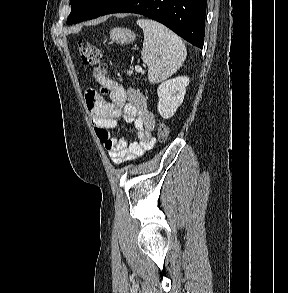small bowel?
Here are the masks:
<instances>
[{
	"label": "small bowel",
	"instance_id": "obj_1",
	"mask_svg": "<svg viewBox=\"0 0 288 293\" xmlns=\"http://www.w3.org/2000/svg\"><path fill=\"white\" fill-rule=\"evenodd\" d=\"M96 78L107 88L110 96V101H106L93 89L85 94L86 108L98 140L115 164L142 156L155 143L152 136L155 117L148 110L144 95L139 90L125 87L110 78ZM121 117L133 124L136 129L137 139L131 143L113 136L110 132V129L117 126V121Z\"/></svg>",
	"mask_w": 288,
	"mask_h": 293
}]
</instances>
